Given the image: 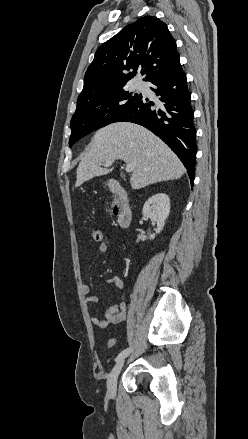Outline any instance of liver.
<instances>
[{"instance_id":"obj_1","label":"liver","mask_w":248,"mask_h":439,"mask_svg":"<svg viewBox=\"0 0 248 439\" xmlns=\"http://www.w3.org/2000/svg\"><path fill=\"white\" fill-rule=\"evenodd\" d=\"M118 159L134 165L130 178L133 189L179 179L185 173L179 158L160 138L140 125L117 122L99 129L93 136L89 151L78 165L75 186L107 175L111 170L100 165Z\"/></svg>"}]
</instances>
